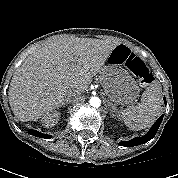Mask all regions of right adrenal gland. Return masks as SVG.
Returning <instances> with one entry per match:
<instances>
[{
	"label": "right adrenal gland",
	"instance_id": "2a0ac1e0",
	"mask_svg": "<svg viewBox=\"0 0 178 178\" xmlns=\"http://www.w3.org/2000/svg\"><path fill=\"white\" fill-rule=\"evenodd\" d=\"M70 101H71V98L68 97V98L65 100V102L62 103L61 106L64 107L65 105H68V104L70 103Z\"/></svg>",
	"mask_w": 178,
	"mask_h": 178
}]
</instances>
